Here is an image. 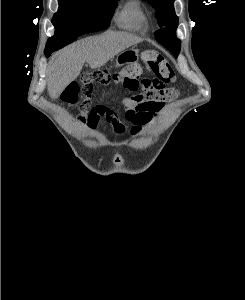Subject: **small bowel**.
Here are the masks:
<instances>
[{
	"mask_svg": "<svg viewBox=\"0 0 245 300\" xmlns=\"http://www.w3.org/2000/svg\"><path fill=\"white\" fill-rule=\"evenodd\" d=\"M131 92L133 95L123 100V108L126 120L132 124L130 135L137 136L144 125L158 117L165 102L155 97L149 79H141L137 89ZM81 111L79 121L84 123L88 130L96 129L100 118L104 117L117 136L125 135V125L121 122L117 112L111 108L105 105L91 106L90 102L85 100Z\"/></svg>",
	"mask_w": 245,
	"mask_h": 300,
	"instance_id": "1",
	"label": "small bowel"
}]
</instances>
